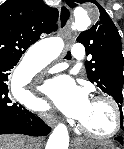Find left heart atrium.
I'll return each mask as SVG.
<instances>
[{
    "instance_id": "39dd6f15",
    "label": "left heart atrium",
    "mask_w": 124,
    "mask_h": 149,
    "mask_svg": "<svg viewBox=\"0 0 124 149\" xmlns=\"http://www.w3.org/2000/svg\"><path fill=\"white\" fill-rule=\"evenodd\" d=\"M45 91L75 118L85 114L91 101L84 88L79 87L69 76H59L45 86Z\"/></svg>"
}]
</instances>
